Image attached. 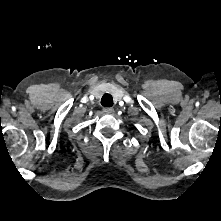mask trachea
Wrapping results in <instances>:
<instances>
[{
	"instance_id": "obj_1",
	"label": "trachea",
	"mask_w": 221,
	"mask_h": 221,
	"mask_svg": "<svg viewBox=\"0 0 221 221\" xmlns=\"http://www.w3.org/2000/svg\"><path fill=\"white\" fill-rule=\"evenodd\" d=\"M101 105L104 107H111L113 105V98L110 94L106 93L101 99Z\"/></svg>"
}]
</instances>
